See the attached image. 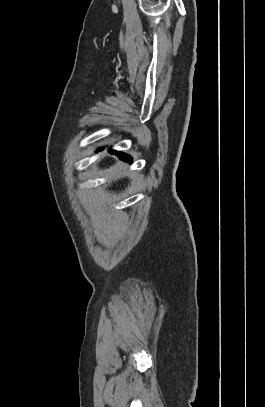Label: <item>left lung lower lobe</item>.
<instances>
[{
	"instance_id": "0a47b994",
	"label": "left lung lower lobe",
	"mask_w": 265,
	"mask_h": 407,
	"mask_svg": "<svg viewBox=\"0 0 265 407\" xmlns=\"http://www.w3.org/2000/svg\"><path fill=\"white\" fill-rule=\"evenodd\" d=\"M111 153L116 154L123 161H127V162L132 161V158L128 154L121 153L118 151H113V150H111Z\"/></svg>"
}]
</instances>
